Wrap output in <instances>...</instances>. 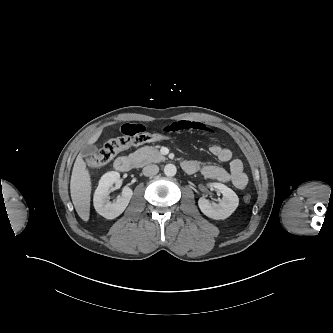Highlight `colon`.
<instances>
[{
  "mask_svg": "<svg viewBox=\"0 0 333 333\" xmlns=\"http://www.w3.org/2000/svg\"><path fill=\"white\" fill-rule=\"evenodd\" d=\"M172 137L162 133H141L135 136H121L107 141L97 152L90 155L87 163L92 168H98L111 161L119 152L132 146H139L151 142H171ZM244 201L249 203L251 195L246 194Z\"/></svg>",
  "mask_w": 333,
  "mask_h": 333,
  "instance_id": "5ec220e1",
  "label": "colon"
}]
</instances>
